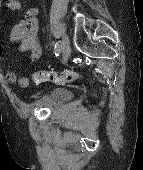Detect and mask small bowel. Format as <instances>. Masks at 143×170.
Here are the masks:
<instances>
[{
	"label": "small bowel",
	"instance_id": "obj_1",
	"mask_svg": "<svg viewBox=\"0 0 143 170\" xmlns=\"http://www.w3.org/2000/svg\"><path fill=\"white\" fill-rule=\"evenodd\" d=\"M0 7H3L5 10L11 12H16L20 10L21 2L20 0H7V2L1 4ZM37 15L38 10L36 9L31 10L26 16L20 19L12 27L8 35V43H18L20 52L29 54L28 59L30 62L37 61L41 55V48L37 39L38 34ZM3 49H4L3 45L0 44V63L2 60ZM5 79L9 83L18 82L20 86L21 82L25 80L29 85V79L27 77L23 76L18 79L16 73L13 71L7 72L5 74Z\"/></svg>",
	"mask_w": 143,
	"mask_h": 170
}]
</instances>
